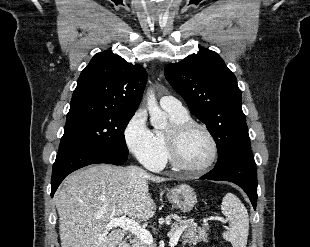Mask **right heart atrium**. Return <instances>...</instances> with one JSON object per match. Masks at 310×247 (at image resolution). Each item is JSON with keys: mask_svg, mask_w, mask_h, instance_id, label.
Returning a JSON list of instances; mask_svg holds the SVG:
<instances>
[{"mask_svg": "<svg viewBox=\"0 0 310 247\" xmlns=\"http://www.w3.org/2000/svg\"><path fill=\"white\" fill-rule=\"evenodd\" d=\"M123 137L129 151L147 168L160 170L164 166L155 134L148 127L146 113L137 111L126 124Z\"/></svg>", "mask_w": 310, "mask_h": 247, "instance_id": "right-heart-atrium-1", "label": "right heart atrium"}]
</instances>
